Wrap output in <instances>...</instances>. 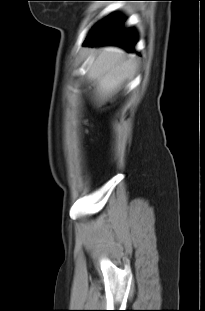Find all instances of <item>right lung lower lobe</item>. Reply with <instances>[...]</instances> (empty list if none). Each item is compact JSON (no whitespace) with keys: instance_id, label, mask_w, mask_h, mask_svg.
<instances>
[{"instance_id":"obj_1","label":"right lung lower lobe","mask_w":205,"mask_h":311,"mask_svg":"<svg viewBox=\"0 0 205 311\" xmlns=\"http://www.w3.org/2000/svg\"><path fill=\"white\" fill-rule=\"evenodd\" d=\"M123 20L115 17H108L99 22L89 33L85 45L96 44H117L128 51L134 50L136 42L135 32L131 29L122 28Z\"/></svg>"}]
</instances>
